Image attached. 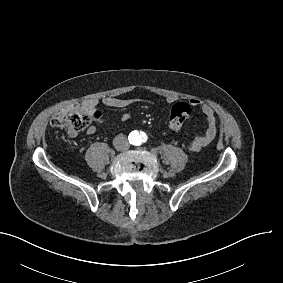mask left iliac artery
<instances>
[{"mask_svg": "<svg viewBox=\"0 0 283 283\" xmlns=\"http://www.w3.org/2000/svg\"><path fill=\"white\" fill-rule=\"evenodd\" d=\"M141 137H143L144 139H147V138H148L147 135H146V133H144V132H141Z\"/></svg>", "mask_w": 283, "mask_h": 283, "instance_id": "1", "label": "left iliac artery"}]
</instances>
